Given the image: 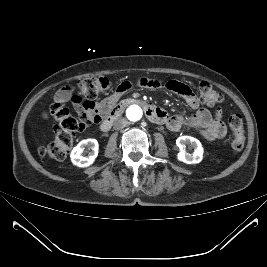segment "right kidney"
<instances>
[{"mask_svg":"<svg viewBox=\"0 0 267 267\" xmlns=\"http://www.w3.org/2000/svg\"><path fill=\"white\" fill-rule=\"evenodd\" d=\"M98 141L96 139L82 140L76 147L73 148L70 157L74 165L79 167L90 166L98 155ZM88 150V156H84V150Z\"/></svg>","mask_w":267,"mask_h":267,"instance_id":"obj_1","label":"right kidney"}]
</instances>
